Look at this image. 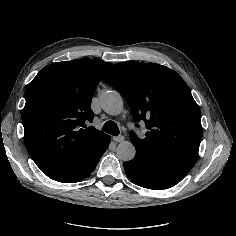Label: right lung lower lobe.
<instances>
[{
  "label": "right lung lower lobe",
  "instance_id": "1",
  "mask_svg": "<svg viewBox=\"0 0 236 236\" xmlns=\"http://www.w3.org/2000/svg\"><path fill=\"white\" fill-rule=\"evenodd\" d=\"M110 136L106 137L97 146L82 153L60 176L54 180L63 183H75L91 174L100 158L108 148Z\"/></svg>",
  "mask_w": 236,
  "mask_h": 236
}]
</instances>
